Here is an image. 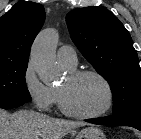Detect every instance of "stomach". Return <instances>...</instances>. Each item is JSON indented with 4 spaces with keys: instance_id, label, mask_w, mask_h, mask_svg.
Returning a JSON list of instances; mask_svg holds the SVG:
<instances>
[{
    "instance_id": "0dacf381",
    "label": "stomach",
    "mask_w": 141,
    "mask_h": 139,
    "mask_svg": "<svg viewBox=\"0 0 141 139\" xmlns=\"http://www.w3.org/2000/svg\"><path fill=\"white\" fill-rule=\"evenodd\" d=\"M75 139H106V137L100 129L90 126L81 130Z\"/></svg>"
}]
</instances>
